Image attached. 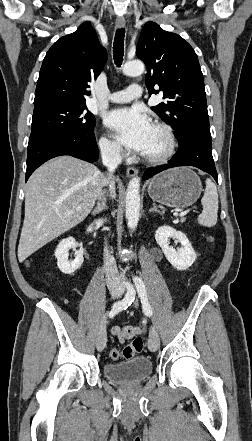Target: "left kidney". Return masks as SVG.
I'll return each mask as SVG.
<instances>
[{"label": "left kidney", "mask_w": 252, "mask_h": 441, "mask_svg": "<svg viewBox=\"0 0 252 441\" xmlns=\"http://www.w3.org/2000/svg\"><path fill=\"white\" fill-rule=\"evenodd\" d=\"M170 238L177 239L182 247L177 251L169 246ZM155 240L165 257L178 270L188 269L196 260V253L186 235L170 226H161L155 232Z\"/></svg>", "instance_id": "left-kidney-1"}]
</instances>
